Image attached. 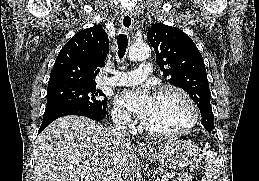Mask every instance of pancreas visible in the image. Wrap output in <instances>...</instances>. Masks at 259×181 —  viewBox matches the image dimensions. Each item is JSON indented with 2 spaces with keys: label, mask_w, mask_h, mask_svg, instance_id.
Masks as SVG:
<instances>
[{
  "label": "pancreas",
  "mask_w": 259,
  "mask_h": 181,
  "mask_svg": "<svg viewBox=\"0 0 259 181\" xmlns=\"http://www.w3.org/2000/svg\"><path fill=\"white\" fill-rule=\"evenodd\" d=\"M161 173H165L164 170H159ZM173 181H192V176L189 173H183L175 178Z\"/></svg>",
  "instance_id": "cf45deb5"
}]
</instances>
